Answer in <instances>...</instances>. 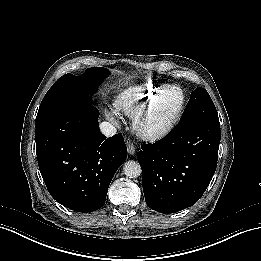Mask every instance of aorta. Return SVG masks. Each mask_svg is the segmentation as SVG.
I'll return each mask as SVG.
<instances>
[{"label": "aorta", "instance_id": "aorta-1", "mask_svg": "<svg viewBox=\"0 0 261 261\" xmlns=\"http://www.w3.org/2000/svg\"><path fill=\"white\" fill-rule=\"evenodd\" d=\"M123 172L129 178H137L141 175V166L137 161L129 160L123 165Z\"/></svg>", "mask_w": 261, "mask_h": 261}]
</instances>
